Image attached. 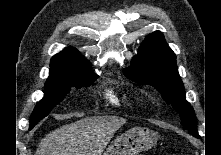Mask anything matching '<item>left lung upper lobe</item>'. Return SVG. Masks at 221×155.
Returning <instances> with one entry per match:
<instances>
[{"instance_id": "5c2ea615", "label": "left lung upper lobe", "mask_w": 221, "mask_h": 155, "mask_svg": "<svg viewBox=\"0 0 221 155\" xmlns=\"http://www.w3.org/2000/svg\"><path fill=\"white\" fill-rule=\"evenodd\" d=\"M131 80L154 86L167 104L180 114L181 124L197 136L195 113L185 99L183 82L178 74L176 57L160 31L148 35L124 70Z\"/></svg>"}]
</instances>
